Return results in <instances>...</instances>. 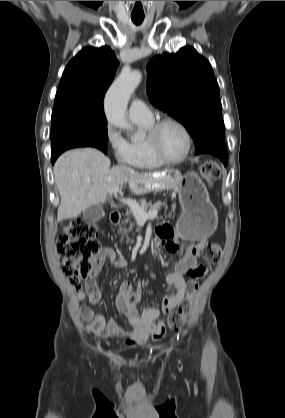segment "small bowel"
Instances as JSON below:
<instances>
[{
	"label": "small bowel",
	"mask_w": 285,
	"mask_h": 418,
	"mask_svg": "<svg viewBox=\"0 0 285 418\" xmlns=\"http://www.w3.org/2000/svg\"><path fill=\"white\" fill-rule=\"evenodd\" d=\"M156 235L160 245L169 253L175 254L179 251V244L173 239V232L168 228H157ZM202 243L190 245L187 251L176 262L172 272L167 274L166 283L173 287V291L167 295L160 307H148L138 312V303L141 300L142 286L133 289L129 281H123L116 296V307L127 321L126 329L116 318L106 319L103 315L97 314L92 307L81 308L80 316L87 322L86 330L99 338H111L117 335L126 336V344H142L148 339L160 341L164 334L157 329L156 320L162 315H168L179 307L187 295V284L185 275L201 277L207 269L197 265V258L200 256ZM93 277L109 261L116 269L127 266V259L124 256L116 255L110 247L102 248L97 255L92 257ZM85 287H74L76 297L79 300L87 299L90 306L97 305L102 299V293L97 288L94 278Z\"/></svg>",
	"instance_id": "small-bowel-1"
}]
</instances>
